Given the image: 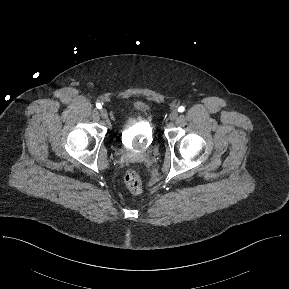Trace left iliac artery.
Wrapping results in <instances>:
<instances>
[{"mask_svg":"<svg viewBox=\"0 0 289 289\" xmlns=\"http://www.w3.org/2000/svg\"><path fill=\"white\" fill-rule=\"evenodd\" d=\"M184 110H185V108H184L183 106H180V107L178 108V112H184Z\"/></svg>","mask_w":289,"mask_h":289,"instance_id":"left-iliac-artery-1","label":"left iliac artery"}]
</instances>
